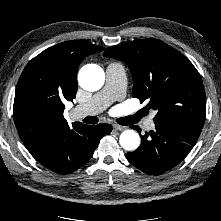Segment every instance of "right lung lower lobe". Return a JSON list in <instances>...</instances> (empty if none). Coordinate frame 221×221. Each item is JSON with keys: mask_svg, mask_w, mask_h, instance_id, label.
I'll use <instances>...</instances> for the list:
<instances>
[{"mask_svg": "<svg viewBox=\"0 0 221 221\" xmlns=\"http://www.w3.org/2000/svg\"><path fill=\"white\" fill-rule=\"evenodd\" d=\"M111 131L112 126L105 123L85 125L70 134L65 144L54 150L52 155L37 160L55 173H72L89 161L99 141Z\"/></svg>", "mask_w": 221, "mask_h": 221, "instance_id": "98d812e1", "label": "right lung lower lobe"}]
</instances>
